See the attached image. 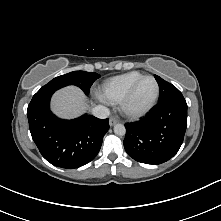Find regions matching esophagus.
Returning a JSON list of instances; mask_svg holds the SVG:
<instances>
[{
  "mask_svg": "<svg viewBox=\"0 0 221 221\" xmlns=\"http://www.w3.org/2000/svg\"><path fill=\"white\" fill-rule=\"evenodd\" d=\"M117 122L118 120L115 117H111L109 120V125L114 126Z\"/></svg>",
  "mask_w": 221,
  "mask_h": 221,
  "instance_id": "1",
  "label": "esophagus"
}]
</instances>
